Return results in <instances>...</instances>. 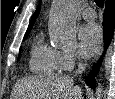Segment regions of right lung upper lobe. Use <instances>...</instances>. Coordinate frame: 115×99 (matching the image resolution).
<instances>
[{
    "label": "right lung upper lobe",
    "mask_w": 115,
    "mask_h": 99,
    "mask_svg": "<svg viewBox=\"0 0 115 99\" xmlns=\"http://www.w3.org/2000/svg\"><path fill=\"white\" fill-rule=\"evenodd\" d=\"M109 1H111V0H106V2H109ZM39 10H40V5L38 6L37 10L33 14V17H32V19L30 21V24H29V27H28V30H27L26 34L30 32V29L32 28V26H33V24H34V22H35V20H36V18L38 16V14H39Z\"/></svg>",
    "instance_id": "1"
}]
</instances>
